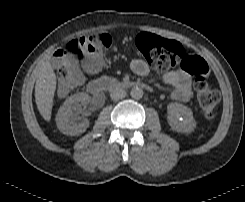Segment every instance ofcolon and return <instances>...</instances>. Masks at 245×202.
I'll use <instances>...</instances> for the list:
<instances>
[{
  "label": "colon",
  "mask_w": 245,
  "mask_h": 202,
  "mask_svg": "<svg viewBox=\"0 0 245 202\" xmlns=\"http://www.w3.org/2000/svg\"><path fill=\"white\" fill-rule=\"evenodd\" d=\"M113 39L108 34H97L83 40H70L54 51L59 62L58 79L62 85L76 81L77 66L74 57H82L91 52H100L103 58L111 47ZM133 45L137 52L157 72L168 71L180 66L193 74L199 109L206 119H212L219 100V92L212 86L208 64L199 56L190 55L180 42L166 40L146 32L135 35Z\"/></svg>",
  "instance_id": "obj_1"
}]
</instances>
